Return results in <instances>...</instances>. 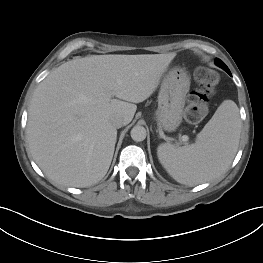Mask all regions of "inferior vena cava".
Instances as JSON below:
<instances>
[{"label":"inferior vena cava","mask_w":263,"mask_h":263,"mask_svg":"<svg viewBox=\"0 0 263 263\" xmlns=\"http://www.w3.org/2000/svg\"><path fill=\"white\" fill-rule=\"evenodd\" d=\"M112 124L115 128H121L124 125V120L122 117L117 116L112 119Z\"/></svg>","instance_id":"1"}]
</instances>
